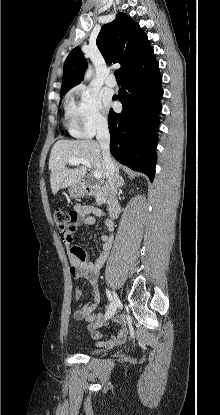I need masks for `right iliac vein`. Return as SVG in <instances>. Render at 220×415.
Returning a JSON list of instances; mask_svg holds the SVG:
<instances>
[{
	"label": "right iliac vein",
	"instance_id": "63e3f726",
	"mask_svg": "<svg viewBox=\"0 0 220 415\" xmlns=\"http://www.w3.org/2000/svg\"><path fill=\"white\" fill-rule=\"evenodd\" d=\"M118 304H119V298H118L116 292L114 291L113 292V301L111 302V305H110L109 309L107 310V312L105 314V320L110 319L114 315V313H115V311L118 307Z\"/></svg>",
	"mask_w": 220,
	"mask_h": 415
}]
</instances>
